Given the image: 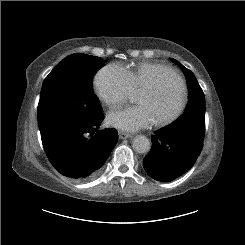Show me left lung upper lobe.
I'll list each match as a JSON object with an SVG mask.
<instances>
[{"label": "left lung upper lobe", "mask_w": 245, "mask_h": 245, "mask_svg": "<svg viewBox=\"0 0 245 245\" xmlns=\"http://www.w3.org/2000/svg\"><path fill=\"white\" fill-rule=\"evenodd\" d=\"M177 64L188 78L190 100L184 113L164 130L170 133L186 134L203 142L205 135V101L203 91L194 74L180 62L171 59Z\"/></svg>", "instance_id": "5c2ea615"}]
</instances>
